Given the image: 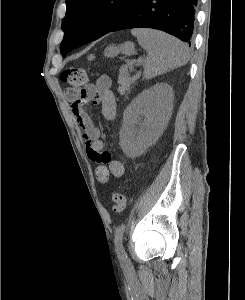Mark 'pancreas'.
Returning <instances> with one entry per match:
<instances>
[{
	"label": "pancreas",
	"mask_w": 245,
	"mask_h": 300,
	"mask_svg": "<svg viewBox=\"0 0 245 300\" xmlns=\"http://www.w3.org/2000/svg\"><path fill=\"white\" fill-rule=\"evenodd\" d=\"M134 80V77L129 76L127 68H122L118 77V83L120 84L118 92L121 95H125V93L129 90L130 85L134 82Z\"/></svg>",
	"instance_id": "obj_1"
}]
</instances>
